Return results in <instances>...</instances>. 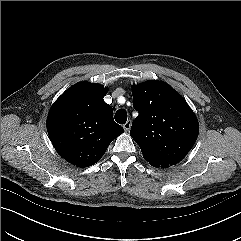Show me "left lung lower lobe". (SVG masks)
I'll list each match as a JSON object with an SVG mask.
<instances>
[{"label": "left lung lower lobe", "instance_id": "obj_1", "mask_svg": "<svg viewBox=\"0 0 241 241\" xmlns=\"http://www.w3.org/2000/svg\"><path fill=\"white\" fill-rule=\"evenodd\" d=\"M150 163V165H152V166H154V167H161V168H166V167H168V166H166V165H158V164H155V163H153V162H149Z\"/></svg>", "mask_w": 241, "mask_h": 241}]
</instances>
